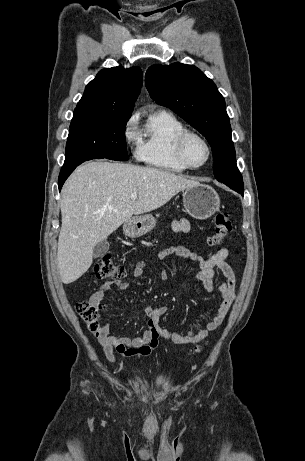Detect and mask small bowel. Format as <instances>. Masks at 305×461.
I'll return each instance as SVG.
<instances>
[{
  "label": "small bowel",
  "instance_id": "small-bowel-1",
  "mask_svg": "<svg viewBox=\"0 0 305 461\" xmlns=\"http://www.w3.org/2000/svg\"><path fill=\"white\" fill-rule=\"evenodd\" d=\"M173 229L177 232H188L190 225L187 220L180 219L173 223ZM174 256L195 262L199 267L197 279L208 292L216 291L218 293L221 302L216 315L206 321L204 327L181 333L161 326L160 318L168 312L167 306L154 307L146 305L147 329L141 336L118 337L111 332L108 325H103L96 333V337L103 347L109 362L114 363L116 361L114 351L125 356H147L158 346L159 338H164L176 345L199 342L205 339L210 332L216 330L226 319L236 295L235 272L227 262L229 250L221 248L208 258L184 246H168L158 253L160 260H167ZM145 267L146 263L139 261L133 270V277H141ZM217 269L222 272L226 280L215 284ZM160 276L162 280L167 279V273L164 269L160 271ZM113 285L122 291L129 288V283L123 280H116L115 282L106 281L100 285L91 300L101 302Z\"/></svg>",
  "mask_w": 305,
  "mask_h": 461
}]
</instances>
